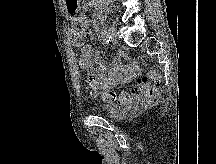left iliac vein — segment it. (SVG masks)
<instances>
[{
	"label": "left iliac vein",
	"mask_w": 216,
	"mask_h": 164,
	"mask_svg": "<svg viewBox=\"0 0 216 164\" xmlns=\"http://www.w3.org/2000/svg\"><path fill=\"white\" fill-rule=\"evenodd\" d=\"M108 30H109V33L111 35V42H112V44H116L117 43V36L115 34V29L111 27Z\"/></svg>",
	"instance_id": "obj_1"
}]
</instances>
